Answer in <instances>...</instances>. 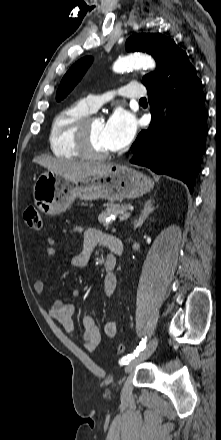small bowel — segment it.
Segmentation results:
<instances>
[{
  "label": "small bowel",
  "instance_id": "1",
  "mask_svg": "<svg viewBox=\"0 0 221 440\" xmlns=\"http://www.w3.org/2000/svg\"><path fill=\"white\" fill-rule=\"evenodd\" d=\"M82 233V247L81 250L76 253L71 260V263L76 268H84L88 265L90 256L94 249L98 245H103L109 248L111 240L114 238L110 235L104 234L96 229L82 230L79 227L63 229L59 235H51L48 238V242L51 245L57 244L61 239L66 238L73 233ZM55 249L53 247L48 248L44 254V260H49L55 256ZM111 255H107V260H112ZM117 286V278L113 272H108L103 280L102 292L105 297L110 298ZM34 290L38 294H42L45 291V284L41 280L34 282ZM74 297H78L79 290H73ZM49 315L69 334L74 333L75 327L73 322V315L75 312V305L71 302H64L56 299L51 302L49 306ZM113 310L110 313V319L104 326V334L107 338H114L117 334V323L113 318ZM83 334L82 342L86 349L93 351L100 346L103 340V335L100 329L97 327L93 316L85 315L82 318Z\"/></svg>",
  "mask_w": 221,
  "mask_h": 440
}]
</instances>
